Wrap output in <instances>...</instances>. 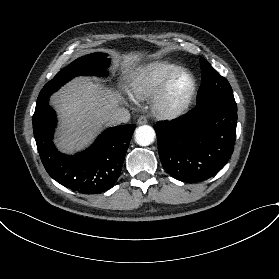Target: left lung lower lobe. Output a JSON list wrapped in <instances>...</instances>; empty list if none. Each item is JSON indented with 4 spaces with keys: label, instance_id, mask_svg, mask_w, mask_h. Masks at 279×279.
Returning a JSON list of instances; mask_svg holds the SVG:
<instances>
[{
    "label": "left lung lower lobe",
    "instance_id": "left-lung-lower-lobe-1",
    "mask_svg": "<svg viewBox=\"0 0 279 279\" xmlns=\"http://www.w3.org/2000/svg\"><path fill=\"white\" fill-rule=\"evenodd\" d=\"M237 106L217 101L197 105L154 128L165 171L183 182H198L217 174L228 162L236 140Z\"/></svg>",
    "mask_w": 279,
    "mask_h": 279
}]
</instances>
